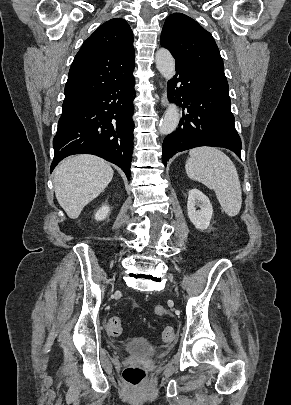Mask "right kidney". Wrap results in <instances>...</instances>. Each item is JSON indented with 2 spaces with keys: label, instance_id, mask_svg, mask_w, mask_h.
I'll list each match as a JSON object with an SVG mask.
<instances>
[{
  "label": "right kidney",
  "instance_id": "obj_1",
  "mask_svg": "<svg viewBox=\"0 0 291 405\" xmlns=\"http://www.w3.org/2000/svg\"><path fill=\"white\" fill-rule=\"evenodd\" d=\"M109 214V207L107 205L102 206L96 213L95 219L97 221L104 220Z\"/></svg>",
  "mask_w": 291,
  "mask_h": 405
}]
</instances>
